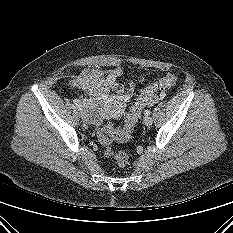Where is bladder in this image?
I'll return each instance as SVG.
<instances>
[{"instance_id": "31cf9c89", "label": "bladder", "mask_w": 233, "mask_h": 233, "mask_svg": "<svg viewBox=\"0 0 233 233\" xmlns=\"http://www.w3.org/2000/svg\"><path fill=\"white\" fill-rule=\"evenodd\" d=\"M85 111L88 115V119L92 124H99L103 121L105 117V112L94 101H88L84 104Z\"/></svg>"}]
</instances>
